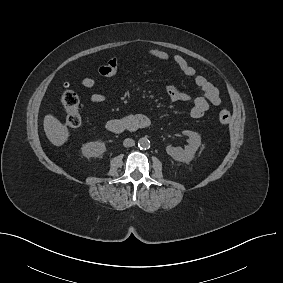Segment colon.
<instances>
[{
  "label": "colon",
  "instance_id": "colon-1",
  "mask_svg": "<svg viewBox=\"0 0 283 283\" xmlns=\"http://www.w3.org/2000/svg\"><path fill=\"white\" fill-rule=\"evenodd\" d=\"M60 103L66 112L65 127L69 130L78 128L82 123L78 96L72 90L65 89L60 95ZM218 119L220 124L228 125L231 120L229 110L222 109L219 112Z\"/></svg>",
  "mask_w": 283,
  "mask_h": 283
}]
</instances>
